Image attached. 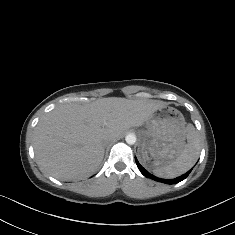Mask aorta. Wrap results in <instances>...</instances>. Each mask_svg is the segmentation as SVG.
Wrapping results in <instances>:
<instances>
[{"instance_id":"aorta-1","label":"aorta","mask_w":235,"mask_h":235,"mask_svg":"<svg viewBox=\"0 0 235 235\" xmlns=\"http://www.w3.org/2000/svg\"><path fill=\"white\" fill-rule=\"evenodd\" d=\"M126 143L129 144V145H134L136 143V136L135 135H127L126 138Z\"/></svg>"}]
</instances>
